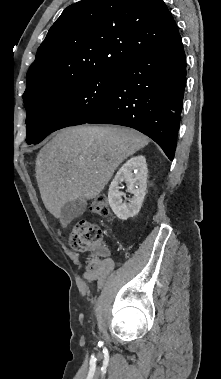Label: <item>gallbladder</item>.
<instances>
[{
    "mask_svg": "<svg viewBox=\"0 0 221 379\" xmlns=\"http://www.w3.org/2000/svg\"><path fill=\"white\" fill-rule=\"evenodd\" d=\"M87 206V200L85 198H80L72 201L66 202L60 213V222L63 226L68 225L72 220L81 216Z\"/></svg>",
    "mask_w": 221,
    "mask_h": 379,
    "instance_id": "bac80fb5",
    "label": "gallbladder"
}]
</instances>
